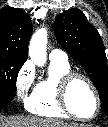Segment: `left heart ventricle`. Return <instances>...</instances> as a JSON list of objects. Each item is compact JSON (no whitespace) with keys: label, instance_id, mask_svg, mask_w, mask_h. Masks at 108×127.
<instances>
[{"label":"left heart ventricle","instance_id":"1","mask_svg":"<svg viewBox=\"0 0 108 127\" xmlns=\"http://www.w3.org/2000/svg\"><path fill=\"white\" fill-rule=\"evenodd\" d=\"M69 102L72 109L82 117L91 116L96 108V100L92 90L81 80L73 83L69 92Z\"/></svg>","mask_w":108,"mask_h":127}]
</instances>
